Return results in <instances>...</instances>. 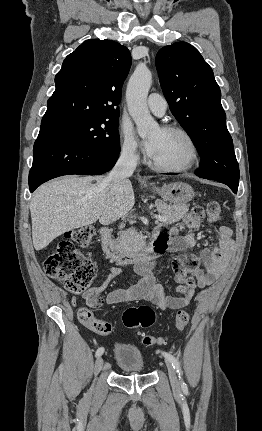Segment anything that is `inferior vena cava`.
<instances>
[{"mask_svg":"<svg viewBox=\"0 0 262 431\" xmlns=\"http://www.w3.org/2000/svg\"><path fill=\"white\" fill-rule=\"evenodd\" d=\"M138 160L139 156L134 149L124 148L115 166L105 178L104 183L111 190H118L120 185L133 174Z\"/></svg>","mask_w":262,"mask_h":431,"instance_id":"inferior-vena-cava-1","label":"inferior vena cava"}]
</instances>
